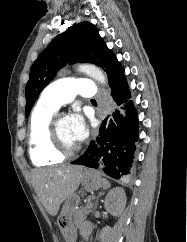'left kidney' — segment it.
I'll use <instances>...</instances> for the list:
<instances>
[{
    "instance_id": "5707ae66",
    "label": "left kidney",
    "mask_w": 187,
    "mask_h": 242,
    "mask_svg": "<svg viewBox=\"0 0 187 242\" xmlns=\"http://www.w3.org/2000/svg\"><path fill=\"white\" fill-rule=\"evenodd\" d=\"M126 206L125 191L121 187H115L111 189L105 197L104 207L113 216H119ZM107 228L105 227L99 238H103Z\"/></svg>"
}]
</instances>
